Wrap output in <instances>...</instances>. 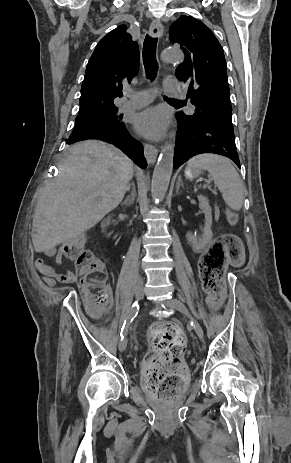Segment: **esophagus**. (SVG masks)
<instances>
[{"label":"esophagus","mask_w":291,"mask_h":463,"mask_svg":"<svg viewBox=\"0 0 291 463\" xmlns=\"http://www.w3.org/2000/svg\"><path fill=\"white\" fill-rule=\"evenodd\" d=\"M149 31L152 37H162L164 33L163 26L159 20L152 21ZM144 154L147 162L152 164L156 161L158 150L151 144H145Z\"/></svg>","instance_id":"1"}]
</instances>
